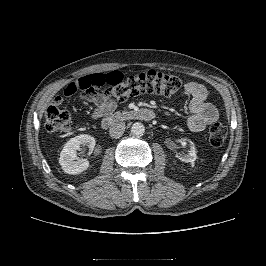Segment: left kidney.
I'll list each match as a JSON object with an SVG mask.
<instances>
[{"label": "left kidney", "mask_w": 266, "mask_h": 266, "mask_svg": "<svg viewBox=\"0 0 266 266\" xmlns=\"http://www.w3.org/2000/svg\"><path fill=\"white\" fill-rule=\"evenodd\" d=\"M190 150L188 151V154L184 157H180V160L186 163H190L191 165H194L195 160L197 159V150L195 148V145L190 142Z\"/></svg>", "instance_id": "obj_1"}]
</instances>
